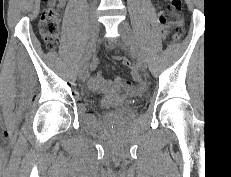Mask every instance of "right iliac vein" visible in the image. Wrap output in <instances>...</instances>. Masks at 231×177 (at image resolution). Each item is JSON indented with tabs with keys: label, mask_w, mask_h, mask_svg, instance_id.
Here are the masks:
<instances>
[{
	"label": "right iliac vein",
	"mask_w": 231,
	"mask_h": 177,
	"mask_svg": "<svg viewBox=\"0 0 231 177\" xmlns=\"http://www.w3.org/2000/svg\"><path fill=\"white\" fill-rule=\"evenodd\" d=\"M99 22L97 20V17L94 13L90 16V22H89V38L88 43L86 46L85 54L82 59L81 65H80V71H79V77L81 80H85L88 76L89 71V59L92 53V50L95 45L96 37L99 32Z\"/></svg>",
	"instance_id": "obj_1"
}]
</instances>
